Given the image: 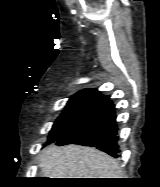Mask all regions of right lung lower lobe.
I'll return each instance as SVG.
<instances>
[{"instance_id": "obj_1", "label": "right lung lower lobe", "mask_w": 160, "mask_h": 187, "mask_svg": "<svg viewBox=\"0 0 160 187\" xmlns=\"http://www.w3.org/2000/svg\"><path fill=\"white\" fill-rule=\"evenodd\" d=\"M117 124L111 100L99 104L94 113L73 132L56 141L57 145L79 144L96 147L109 155L119 157Z\"/></svg>"}]
</instances>
